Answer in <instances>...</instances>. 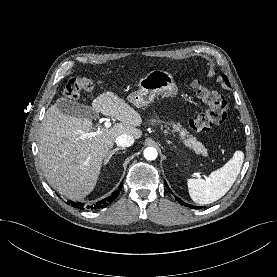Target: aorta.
Masks as SVG:
<instances>
[{
	"label": "aorta",
	"instance_id": "aorta-1",
	"mask_svg": "<svg viewBox=\"0 0 277 277\" xmlns=\"http://www.w3.org/2000/svg\"><path fill=\"white\" fill-rule=\"evenodd\" d=\"M157 150L153 147H147L145 150H144V157L147 159V160H155L157 158Z\"/></svg>",
	"mask_w": 277,
	"mask_h": 277
}]
</instances>
